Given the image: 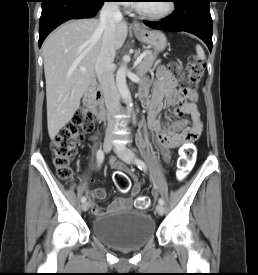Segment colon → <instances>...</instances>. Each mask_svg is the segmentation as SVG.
Listing matches in <instances>:
<instances>
[{"label":"colon","instance_id":"1","mask_svg":"<svg viewBox=\"0 0 258 275\" xmlns=\"http://www.w3.org/2000/svg\"><path fill=\"white\" fill-rule=\"evenodd\" d=\"M170 69L184 80L183 91H193L203 75V59L197 55H191L188 58L185 70L176 62L170 64ZM94 127L93 116L90 111L80 109L73 117L72 121L64 126L55 135L51 143L53 163L57 168L59 177L71 182L73 179V170L71 160L76 152L77 143L82 138V132L90 131ZM194 159V148L192 144H186L178 160L177 177L179 180L184 179ZM113 180L116 187L121 192L131 190V181L127 174L115 172ZM150 204L147 197H139L136 200V206L139 209H146Z\"/></svg>","mask_w":258,"mask_h":275}]
</instances>
